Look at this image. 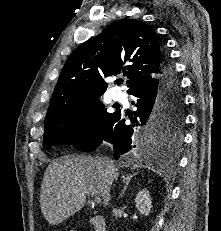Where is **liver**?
<instances>
[{
    "label": "liver",
    "mask_w": 221,
    "mask_h": 231,
    "mask_svg": "<svg viewBox=\"0 0 221 231\" xmlns=\"http://www.w3.org/2000/svg\"><path fill=\"white\" fill-rule=\"evenodd\" d=\"M114 179L119 176L114 166ZM110 173L100 159L91 156H62L46 169L41 185L40 207L51 225L61 223L83 208L87 195L99 196L109 205Z\"/></svg>",
    "instance_id": "1"
}]
</instances>
